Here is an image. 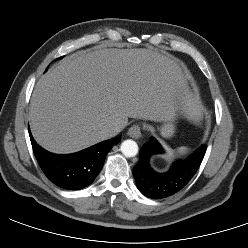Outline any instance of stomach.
<instances>
[{
    "label": "stomach",
    "mask_w": 248,
    "mask_h": 248,
    "mask_svg": "<svg viewBox=\"0 0 248 248\" xmlns=\"http://www.w3.org/2000/svg\"><path fill=\"white\" fill-rule=\"evenodd\" d=\"M179 118V110L176 107L172 114H170L167 118H165L162 122V126L159 128L160 134L164 138H170L175 133V122Z\"/></svg>",
    "instance_id": "1"
}]
</instances>
